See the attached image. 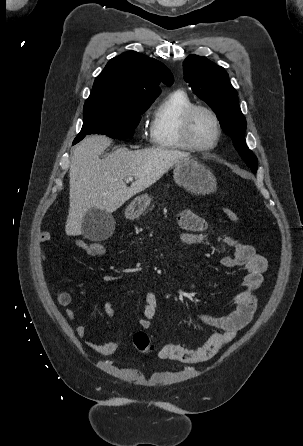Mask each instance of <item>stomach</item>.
Segmentation results:
<instances>
[{"label": "stomach", "mask_w": 303, "mask_h": 446, "mask_svg": "<svg viewBox=\"0 0 303 446\" xmlns=\"http://www.w3.org/2000/svg\"><path fill=\"white\" fill-rule=\"evenodd\" d=\"M175 182L195 194H210L216 190V178L213 173L194 159H187L175 165ZM151 198L142 194L132 200L125 211L129 219L139 217L149 207Z\"/></svg>", "instance_id": "stomach-1"}]
</instances>
